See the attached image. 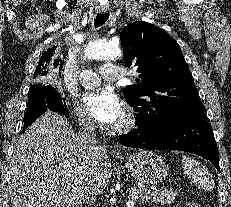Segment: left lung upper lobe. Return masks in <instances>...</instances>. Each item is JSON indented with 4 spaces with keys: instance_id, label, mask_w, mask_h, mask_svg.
<instances>
[{
    "instance_id": "left-lung-upper-lobe-1",
    "label": "left lung upper lobe",
    "mask_w": 231,
    "mask_h": 207,
    "mask_svg": "<svg viewBox=\"0 0 231 207\" xmlns=\"http://www.w3.org/2000/svg\"><path fill=\"white\" fill-rule=\"evenodd\" d=\"M125 66L137 68V84L124 97L139 115L138 129L159 130L168 122L204 110L178 43L148 22H135L120 33Z\"/></svg>"
}]
</instances>
